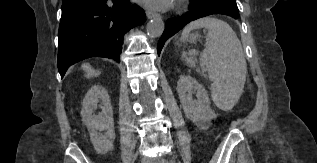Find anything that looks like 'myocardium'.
Returning a JSON list of instances; mask_svg holds the SVG:
<instances>
[{
    "label": "myocardium",
    "instance_id": "obj_1",
    "mask_svg": "<svg viewBox=\"0 0 317 163\" xmlns=\"http://www.w3.org/2000/svg\"><path fill=\"white\" fill-rule=\"evenodd\" d=\"M179 3H180V9L186 7V0H179Z\"/></svg>",
    "mask_w": 317,
    "mask_h": 163
}]
</instances>
